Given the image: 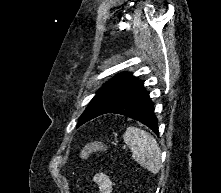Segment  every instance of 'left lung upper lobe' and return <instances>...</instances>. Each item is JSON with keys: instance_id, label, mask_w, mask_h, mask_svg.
Returning a JSON list of instances; mask_svg holds the SVG:
<instances>
[{"instance_id": "5c2ea615", "label": "left lung upper lobe", "mask_w": 221, "mask_h": 193, "mask_svg": "<svg viewBox=\"0 0 221 193\" xmlns=\"http://www.w3.org/2000/svg\"><path fill=\"white\" fill-rule=\"evenodd\" d=\"M136 80L131 73H120L106 82L99 91H97L90 104L80 116L79 125L85 123L91 118L101 115L104 110L121 94V92Z\"/></svg>"}]
</instances>
